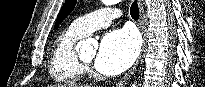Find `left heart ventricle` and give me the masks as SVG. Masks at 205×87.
<instances>
[{"instance_id":"left-heart-ventricle-1","label":"left heart ventricle","mask_w":205,"mask_h":87,"mask_svg":"<svg viewBox=\"0 0 205 87\" xmlns=\"http://www.w3.org/2000/svg\"><path fill=\"white\" fill-rule=\"evenodd\" d=\"M95 55H96V50H93V51L90 52V53L82 54L81 57H82L85 61L91 63V62L94 60Z\"/></svg>"}]
</instances>
